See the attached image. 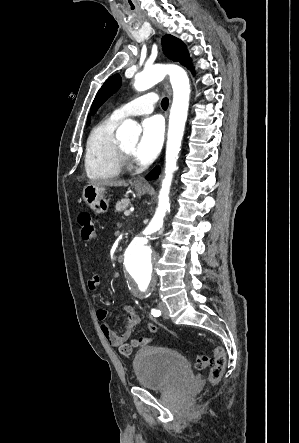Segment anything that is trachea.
<instances>
[{
    "mask_svg": "<svg viewBox=\"0 0 299 443\" xmlns=\"http://www.w3.org/2000/svg\"><path fill=\"white\" fill-rule=\"evenodd\" d=\"M168 103H169V101H168V98H163V100H162V102H161V106H162V108L163 109H167V107H168Z\"/></svg>",
    "mask_w": 299,
    "mask_h": 443,
    "instance_id": "obj_1",
    "label": "trachea"
}]
</instances>
